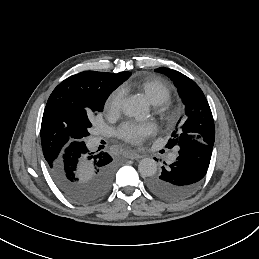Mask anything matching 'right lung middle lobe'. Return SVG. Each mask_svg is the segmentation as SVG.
I'll return each mask as SVG.
<instances>
[{
	"label": "right lung middle lobe",
	"mask_w": 259,
	"mask_h": 259,
	"mask_svg": "<svg viewBox=\"0 0 259 259\" xmlns=\"http://www.w3.org/2000/svg\"><path fill=\"white\" fill-rule=\"evenodd\" d=\"M106 99H107V96L97 99V101L94 104V108H93V110L95 112L89 113L88 117L85 119V122L83 123V125L81 127H79L78 129L71 132L70 137H71L73 144H78L80 142H84L85 138L89 136L88 130L92 126L90 120L93 117V113L97 114L98 112L103 111V107H104Z\"/></svg>",
	"instance_id": "dd1d6c3e"
}]
</instances>
